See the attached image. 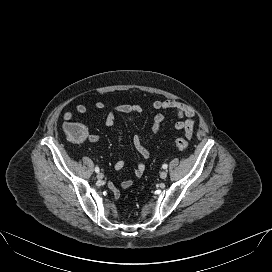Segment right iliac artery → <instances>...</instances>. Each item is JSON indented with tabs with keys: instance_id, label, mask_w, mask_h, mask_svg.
Instances as JSON below:
<instances>
[{
	"instance_id": "82829eb1",
	"label": "right iliac artery",
	"mask_w": 272,
	"mask_h": 272,
	"mask_svg": "<svg viewBox=\"0 0 272 272\" xmlns=\"http://www.w3.org/2000/svg\"><path fill=\"white\" fill-rule=\"evenodd\" d=\"M99 171H100V170H99V167H98V166H96V167H95V172H97V173H98Z\"/></svg>"
}]
</instances>
